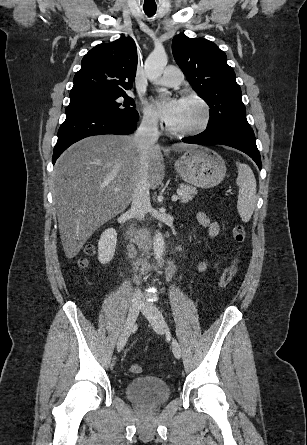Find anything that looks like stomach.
I'll return each instance as SVG.
<instances>
[{
	"label": "stomach",
	"mask_w": 307,
	"mask_h": 445,
	"mask_svg": "<svg viewBox=\"0 0 307 445\" xmlns=\"http://www.w3.org/2000/svg\"><path fill=\"white\" fill-rule=\"evenodd\" d=\"M175 168L185 182L211 188L217 186L226 176V164L215 150L207 146H192L188 148L175 162Z\"/></svg>",
	"instance_id": "stomach-1"
}]
</instances>
